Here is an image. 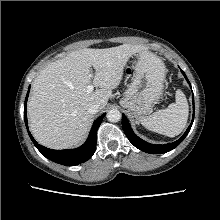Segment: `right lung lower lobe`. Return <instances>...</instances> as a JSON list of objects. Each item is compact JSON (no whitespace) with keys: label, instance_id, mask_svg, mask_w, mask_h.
<instances>
[{"label":"right lung lower lobe","instance_id":"obj_1","mask_svg":"<svg viewBox=\"0 0 220 220\" xmlns=\"http://www.w3.org/2000/svg\"><path fill=\"white\" fill-rule=\"evenodd\" d=\"M29 90H30V87H29ZM28 95H29V91L27 92L25 104H24V120H25L28 134L32 142L37 147V149L41 152L42 155H44L46 158L50 159L51 161H54L56 163H59L65 166H74V165L83 163L93 156L95 149H96L97 130L103 120V117L105 116V113L102 114L94 122L92 129L90 131L89 137L82 146L76 149H69V150H52V149H48L44 146L39 145L35 141V139L32 137L28 129V121H27V115H26V105H27Z\"/></svg>","mask_w":220,"mask_h":220}]
</instances>
